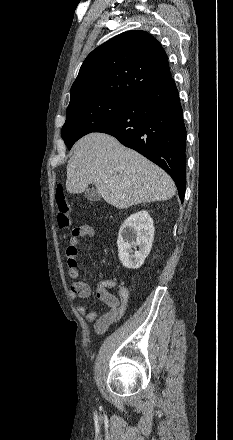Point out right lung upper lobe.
Returning <instances> with one entry per match:
<instances>
[{
    "label": "right lung upper lobe",
    "mask_w": 233,
    "mask_h": 440,
    "mask_svg": "<svg viewBox=\"0 0 233 440\" xmlns=\"http://www.w3.org/2000/svg\"><path fill=\"white\" fill-rule=\"evenodd\" d=\"M169 78L160 43L145 31H127L87 56L71 87L70 104L94 97L130 99Z\"/></svg>",
    "instance_id": "right-lung-upper-lobe-1"
}]
</instances>
